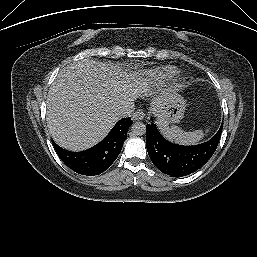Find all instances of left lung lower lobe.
Listing matches in <instances>:
<instances>
[{"label": "left lung lower lobe", "mask_w": 257, "mask_h": 257, "mask_svg": "<svg viewBox=\"0 0 257 257\" xmlns=\"http://www.w3.org/2000/svg\"><path fill=\"white\" fill-rule=\"evenodd\" d=\"M223 129L208 141L198 145H178L166 140L152 122L146 125V147L153 164L164 174L172 177L189 175L203 165L215 152Z\"/></svg>", "instance_id": "obj_1"}]
</instances>
